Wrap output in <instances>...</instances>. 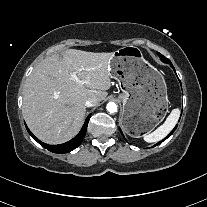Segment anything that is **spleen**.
<instances>
[{
    "label": "spleen",
    "mask_w": 207,
    "mask_h": 207,
    "mask_svg": "<svg viewBox=\"0 0 207 207\" xmlns=\"http://www.w3.org/2000/svg\"><path fill=\"white\" fill-rule=\"evenodd\" d=\"M179 117V110H172L171 114L167 117L165 123L150 135H145L144 139L148 142L160 141L165 138L175 126Z\"/></svg>",
    "instance_id": "spleen-1"
}]
</instances>
